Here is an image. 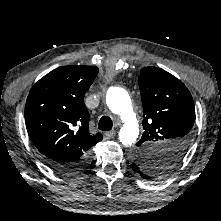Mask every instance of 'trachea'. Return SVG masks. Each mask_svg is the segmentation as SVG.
I'll list each match as a JSON object with an SVG mask.
<instances>
[{
    "mask_svg": "<svg viewBox=\"0 0 221 221\" xmlns=\"http://www.w3.org/2000/svg\"><path fill=\"white\" fill-rule=\"evenodd\" d=\"M113 127V123L110 117L102 116L98 123V128L102 131H110Z\"/></svg>",
    "mask_w": 221,
    "mask_h": 221,
    "instance_id": "trachea-1",
    "label": "trachea"
}]
</instances>
